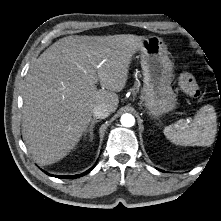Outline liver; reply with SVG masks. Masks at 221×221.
Returning <instances> with one entry per match:
<instances>
[{"label": "liver", "mask_w": 221, "mask_h": 221, "mask_svg": "<svg viewBox=\"0 0 221 221\" xmlns=\"http://www.w3.org/2000/svg\"><path fill=\"white\" fill-rule=\"evenodd\" d=\"M144 37L68 36L31 64L23 91V137L40 165L64 158L92 120L93 108L116 111L132 56ZM100 82L102 89L96 88Z\"/></svg>", "instance_id": "liver-1"}]
</instances>
